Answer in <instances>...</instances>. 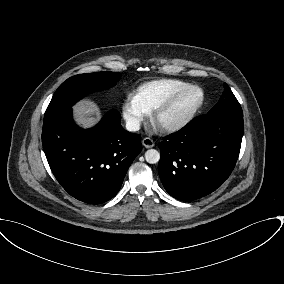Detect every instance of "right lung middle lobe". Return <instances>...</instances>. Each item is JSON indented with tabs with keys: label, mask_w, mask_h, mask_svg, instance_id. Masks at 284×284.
<instances>
[{
	"label": "right lung middle lobe",
	"mask_w": 284,
	"mask_h": 284,
	"mask_svg": "<svg viewBox=\"0 0 284 284\" xmlns=\"http://www.w3.org/2000/svg\"><path fill=\"white\" fill-rule=\"evenodd\" d=\"M120 78L118 72H97L80 74L68 78L54 93L44 115V121L58 112L71 108L85 95L108 89Z\"/></svg>",
	"instance_id": "right-lung-middle-lobe-1"
}]
</instances>
